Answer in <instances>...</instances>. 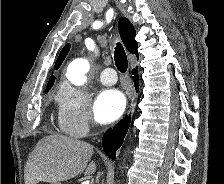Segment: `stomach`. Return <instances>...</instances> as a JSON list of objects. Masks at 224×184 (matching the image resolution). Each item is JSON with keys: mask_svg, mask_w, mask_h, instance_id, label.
Returning <instances> with one entry per match:
<instances>
[{"mask_svg": "<svg viewBox=\"0 0 224 184\" xmlns=\"http://www.w3.org/2000/svg\"><path fill=\"white\" fill-rule=\"evenodd\" d=\"M52 184H61L60 182H55V183H52Z\"/></svg>", "mask_w": 224, "mask_h": 184, "instance_id": "0dacf381", "label": "stomach"}]
</instances>
